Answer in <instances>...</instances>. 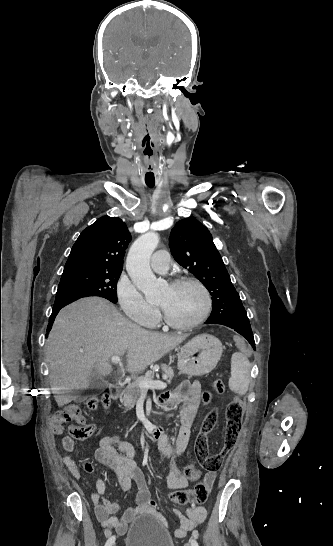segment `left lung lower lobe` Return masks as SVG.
I'll return each instance as SVG.
<instances>
[{
    "label": "left lung lower lobe",
    "mask_w": 333,
    "mask_h": 546,
    "mask_svg": "<svg viewBox=\"0 0 333 546\" xmlns=\"http://www.w3.org/2000/svg\"><path fill=\"white\" fill-rule=\"evenodd\" d=\"M207 323L225 325L234 329L243 337H245L255 350V341H254L251 325L249 323V319L247 315L240 316L231 323H222V322L212 321L210 319L207 320Z\"/></svg>",
    "instance_id": "obj_1"
}]
</instances>
